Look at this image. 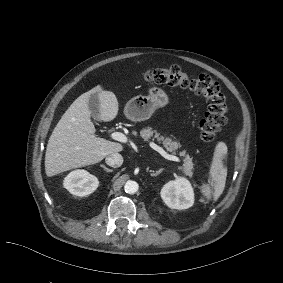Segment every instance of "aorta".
<instances>
[{
	"label": "aorta",
	"instance_id": "aorta-1",
	"mask_svg": "<svg viewBox=\"0 0 283 283\" xmlns=\"http://www.w3.org/2000/svg\"><path fill=\"white\" fill-rule=\"evenodd\" d=\"M139 185L136 181L129 180L124 185V190L126 193L134 194L138 191Z\"/></svg>",
	"mask_w": 283,
	"mask_h": 283
}]
</instances>
